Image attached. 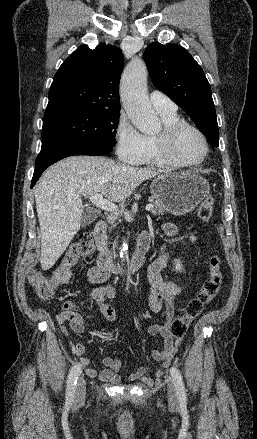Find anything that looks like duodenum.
I'll return each mask as SVG.
<instances>
[{"instance_id": "1", "label": "duodenum", "mask_w": 257, "mask_h": 439, "mask_svg": "<svg viewBox=\"0 0 257 439\" xmlns=\"http://www.w3.org/2000/svg\"><path fill=\"white\" fill-rule=\"evenodd\" d=\"M107 225L105 222H98L94 229V239L100 254L97 259V266L100 271L106 273H115L124 275L129 272H135L142 267L145 261V255L149 249L148 240H140L127 266H116L107 250L106 240Z\"/></svg>"}]
</instances>
